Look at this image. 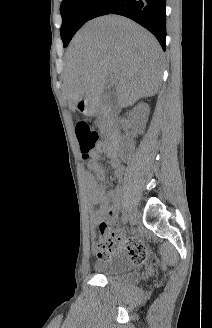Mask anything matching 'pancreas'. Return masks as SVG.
<instances>
[{
  "label": "pancreas",
  "mask_w": 212,
  "mask_h": 328,
  "mask_svg": "<svg viewBox=\"0 0 212 328\" xmlns=\"http://www.w3.org/2000/svg\"><path fill=\"white\" fill-rule=\"evenodd\" d=\"M97 125L99 126L100 129H104V119L99 117L97 120Z\"/></svg>",
  "instance_id": "pancreas-1"
}]
</instances>
